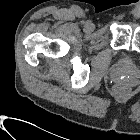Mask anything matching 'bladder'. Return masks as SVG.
<instances>
[{"instance_id":"obj_1","label":"bladder","mask_w":140,"mask_h":140,"mask_svg":"<svg viewBox=\"0 0 140 140\" xmlns=\"http://www.w3.org/2000/svg\"><path fill=\"white\" fill-rule=\"evenodd\" d=\"M134 62V57L130 56V55H124L122 57V63L124 65H131Z\"/></svg>"}]
</instances>
